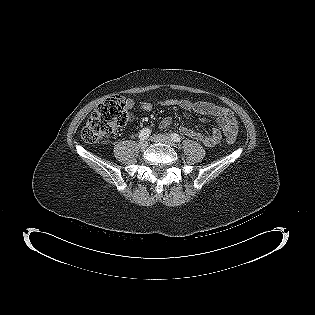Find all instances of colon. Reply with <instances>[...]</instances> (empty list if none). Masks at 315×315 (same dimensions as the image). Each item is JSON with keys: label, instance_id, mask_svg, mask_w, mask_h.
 Returning <instances> with one entry per match:
<instances>
[{"label": "colon", "instance_id": "obj_1", "mask_svg": "<svg viewBox=\"0 0 315 315\" xmlns=\"http://www.w3.org/2000/svg\"><path fill=\"white\" fill-rule=\"evenodd\" d=\"M130 120L131 113L126 100L120 95L110 96L92 112L82 129L81 137L87 143H96ZM227 142L233 143L234 139L227 137Z\"/></svg>", "mask_w": 315, "mask_h": 315}]
</instances>
